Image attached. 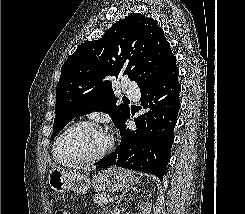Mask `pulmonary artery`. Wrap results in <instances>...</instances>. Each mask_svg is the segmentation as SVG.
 Returning a JSON list of instances; mask_svg holds the SVG:
<instances>
[{
	"label": "pulmonary artery",
	"instance_id": "1",
	"mask_svg": "<svg viewBox=\"0 0 245 214\" xmlns=\"http://www.w3.org/2000/svg\"><path fill=\"white\" fill-rule=\"evenodd\" d=\"M125 93L129 98L138 100L140 97V91L138 86L132 82L125 83Z\"/></svg>",
	"mask_w": 245,
	"mask_h": 214
}]
</instances>
